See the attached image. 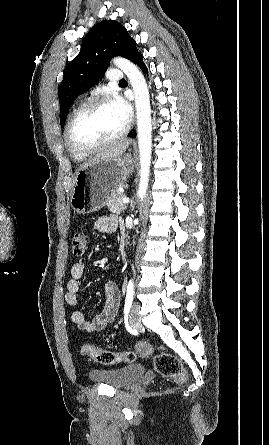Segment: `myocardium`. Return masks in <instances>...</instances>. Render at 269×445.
<instances>
[{
	"label": "myocardium",
	"instance_id": "1",
	"mask_svg": "<svg viewBox=\"0 0 269 445\" xmlns=\"http://www.w3.org/2000/svg\"><path fill=\"white\" fill-rule=\"evenodd\" d=\"M110 99L108 97L105 96H99V97H95L92 98L90 100H88L87 102L83 103L80 107H78L73 114L71 115V117L69 118L67 125H66V129H65V142L66 145L68 147V149L77 155H81V156H88L94 153H97L98 151L102 150L103 148L112 145L118 141H120L122 138H124L128 131H129V124H126V126L124 127V129L117 134L116 136L107 139L95 146L92 147H82L77 145L73 139H72V128L73 125L75 123V121L85 112H87L88 110L105 104V103H110Z\"/></svg>",
	"mask_w": 269,
	"mask_h": 445
}]
</instances>
